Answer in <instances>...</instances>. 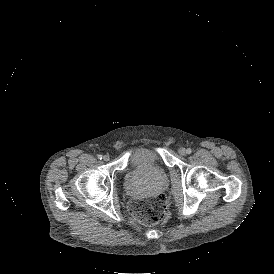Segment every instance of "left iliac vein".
Returning a JSON list of instances; mask_svg holds the SVG:
<instances>
[{"label":"left iliac vein","mask_w":274,"mask_h":274,"mask_svg":"<svg viewBox=\"0 0 274 274\" xmlns=\"http://www.w3.org/2000/svg\"><path fill=\"white\" fill-rule=\"evenodd\" d=\"M178 153H179L181 156H185L187 152H186V149H185V148L181 147V148L178 149Z\"/></svg>","instance_id":"4c4485c4"}]
</instances>
